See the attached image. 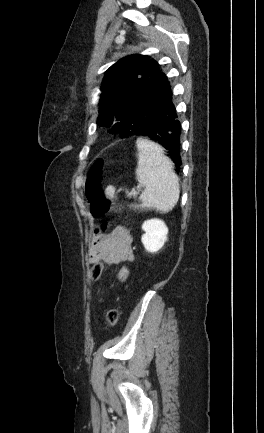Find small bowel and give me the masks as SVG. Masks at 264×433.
I'll return each instance as SVG.
<instances>
[{"label": "small bowel", "instance_id": "small-bowel-1", "mask_svg": "<svg viewBox=\"0 0 264 433\" xmlns=\"http://www.w3.org/2000/svg\"><path fill=\"white\" fill-rule=\"evenodd\" d=\"M132 237L123 226H117L109 233H96L89 250L91 263L104 261L117 264L133 259L131 250Z\"/></svg>", "mask_w": 264, "mask_h": 433}]
</instances>
